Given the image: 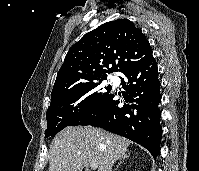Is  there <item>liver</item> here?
<instances>
[{
	"label": "liver",
	"mask_w": 199,
	"mask_h": 171,
	"mask_svg": "<svg viewBox=\"0 0 199 171\" xmlns=\"http://www.w3.org/2000/svg\"><path fill=\"white\" fill-rule=\"evenodd\" d=\"M130 141L92 126H69L52 141L49 171H82L95 163L98 171H111Z\"/></svg>",
	"instance_id": "1"
}]
</instances>
